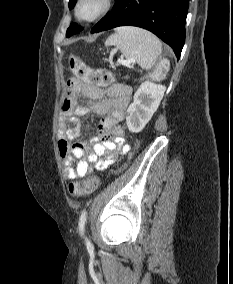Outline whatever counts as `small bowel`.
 I'll use <instances>...</instances> for the list:
<instances>
[{"label": "small bowel", "mask_w": 233, "mask_h": 284, "mask_svg": "<svg viewBox=\"0 0 233 284\" xmlns=\"http://www.w3.org/2000/svg\"><path fill=\"white\" fill-rule=\"evenodd\" d=\"M130 96L131 89L124 84H113L104 90L78 78L69 80L66 96L61 103V117L70 125L64 127L58 144L66 179L83 177L93 168L104 170L119 153L129 151L119 123L124 119ZM80 97L88 99L89 105L81 103ZM89 111L102 116L98 126L99 135L90 143L71 144L69 140L77 138L80 133L79 118Z\"/></svg>", "instance_id": "small-bowel-1"}]
</instances>
